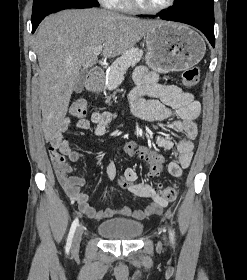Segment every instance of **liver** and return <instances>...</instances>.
Returning <instances> with one entry per match:
<instances>
[{
    "label": "liver",
    "instance_id": "1",
    "mask_svg": "<svg viewBox=\"0 0 247 280\" xmlns=\"http://www.w3.org/2000/svg\"><path fill=\"white\" fill-rule=\"evenodd\" d=\"M161 23L98 8L65 10L42 21L35 49L40 66L39 102L46 141L66 116L81 67L88 68L97 62L93 50L102 45L104 57H116Z\"/></svg>",
    "mask_w": 247,
    "mask_h": 280
}]
</instances>
